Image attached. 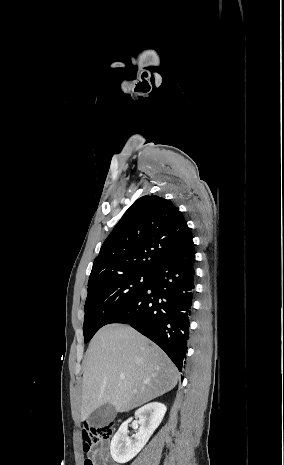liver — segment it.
Listing matches in <instances>:
<instances>
[{"label":"liver","mask_w":284,"mask_h":465,"mask_svg":"<svg viewBox=\"0 0 284 465\" xmlns=\"http://www.w3.org/2000/svg\"><path fill=\"white\" fill-rule=\"evenodd\" d=\"M178 377L169 357L135 329L106 325L87 349L80 421L107 403L118 413L141 407L174 389Z\"/></svg>","instance_id":"6515ba94"}]
</instances>
